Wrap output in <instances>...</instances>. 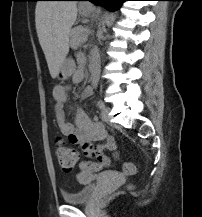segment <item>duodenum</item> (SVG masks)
<instances>
[{"label": "duodenum", "instance_id": "1", "mask_svg": "<svg viewBox=\"0 0 202 217\" xmlns=\"http://www.w3.org/2000/svg\"><path fill=\"white\" fill-rule=\"evenodd\" d=\"M91 82L96 84L98 82V66L95 62L92 63Z\"/></svg>", "mask_w": 202, "mask_h": 217}]
</instances>
